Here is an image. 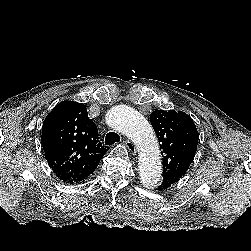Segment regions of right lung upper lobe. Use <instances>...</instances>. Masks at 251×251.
Returning a JSON list of instances; mask_svg holds the SVG:
<instances>
[{"label":"right lung upper lobe","mask_w":251,"mask_h":251,"mask_svg":"<svg viewBox=\"0 0 251 251\" xmlns=\"http://www.w3.org/2000/svg\"><path fill=\"white\" fill-rule=\"evenodd\" d=\"M41 143L50 168L69 184L92 174L107 151L85 105L74 101H63L48 114Z\"/></svg>","instance_id":"right-lung-upper-lobe-1"}]
</instances>
